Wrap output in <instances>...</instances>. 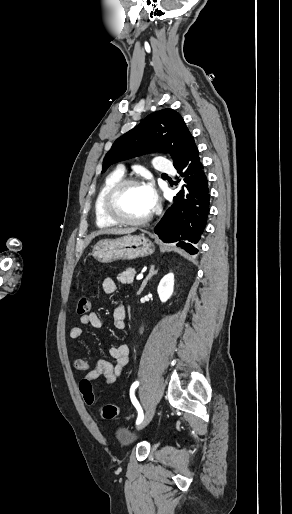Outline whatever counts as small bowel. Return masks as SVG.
<instances>
[{
	"label": "small bowel",
	"mask_w": 292,
	"mask_h": 514,
	"mask_svg": "<svg viewBox=\"0 0 292 514\" xmlns=\"http://www.w3.org/2000/svg\"><path fill=\"white\" fill-rule=\"evenodd\" d=\"M102 288L106 294L113 295L118 292V287L114 279L106 277L102 281ZM126 315L127 311L124 305L118 304L113 308V326L117 330H124L126 328ZM80 322L82 325L91 326L94 329L102 327V320L97 313H89L81 316ZM84 334L81 327H73L69 331V337L73 340L80 339ZM109 354L114 359V362L100 360L96 363L95 367L82 358H77L73 361V367L77 371L86 372L84 375L85 380L90 382L104 378V383L109 385L117 381L121 372L126 367L129 361V347L126 344H118L109 348Z\"/></svg>",
	"instance_id": "obj_1"
}]
</instances>
